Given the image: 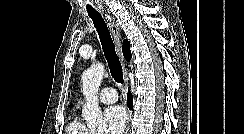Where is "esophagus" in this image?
Returning a JSON list of instances; mask_svg holds the SVG:
<instances>
[{"label":"esophagus","instance_id":"obj_1","mask_svg":"<svg viewBox=\"0 0 244 134\" xmlns=\"http://www.w3.org/2000/svg\"><path fill=\"white\" fill-rule=\"evenodd\" d=\"M104 17L108 23V26L112 32V35H113L115 43H116L118 55H119V58L121 60L122 66H123L124 88H125V91L127 92L129 82H128V75H127V64H126L125 59L122 54V35H121L120 26L117 23V21H115V19L113 17H111L110 15L104 14ZM131 116H132V114L130 111L125 134L129 133Z\"/></svg>","mask_w":244,"mask_h":134}]
</instances>
